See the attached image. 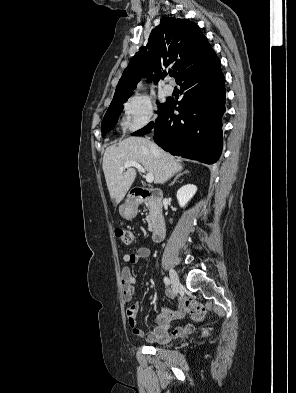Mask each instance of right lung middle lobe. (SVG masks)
Segmentation results:
<instances>
[{
	"label": "right lung middle lobe",
	"instance_id": "right-lung-middle-lobe-1",
	"mask_svg": "<svg viewBox=\"0 0 296 393\" xmlns=\"http://www.w3.org/2000/svg\"><path fill=\"white\" fill-rule=\"evenodd\" d=\"M127 100L128 98L115 100L111 102V105L109 106V109L107 110L103 118V121L101 123L102 136H105L107 132H109L111 129L114 128L118 120V117L123 110V104L127 102ZM157 104L159 106V109L157 111L158 113L163 108L165 103L164 104L157 103Z\"/></svg>",
	"mask_w": 296,
	"mask_h": 393
}]
</instances>
